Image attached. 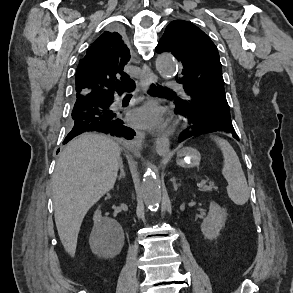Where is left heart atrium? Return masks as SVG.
Returning <instances> with one entry per match:
<instances>
[{"label":"left heart atrium","instance_id":"left-heart-atrium-1","mask_svg":"<svg viewBox=\"0 0 293 293\" xmlns=\"http://www.w3.org/2000/svg\"><path fill=\"white\" fill-rule=\"evenodd\" d=\"M129 121L138 127H154L162 121V110L155 104H147L133 111L129 116Z\"/></svg>","mask_w":293,"mask_h":293}]
</instances>
